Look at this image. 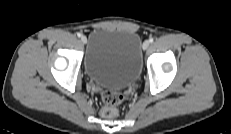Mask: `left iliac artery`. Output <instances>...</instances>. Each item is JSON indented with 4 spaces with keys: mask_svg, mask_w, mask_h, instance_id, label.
I'll return each mask as SVG.
<instances>
[{
    "mask_svg": "<svg viewBox=\"0 0 231 134\" xmlns=\"http://www.w3.org/2000/svg\"><path fill=\"white\" fill-rule=\"evenodd\" d=\"M153 41H154V39H153V38H150V39H149V42H150V43H152Z\"/></svg>",
    "mask_w": 231,
    "mask_h": 134,
    "instance_id": "44dca946",
    "label": "left iliac artery"
}]
</instances>
